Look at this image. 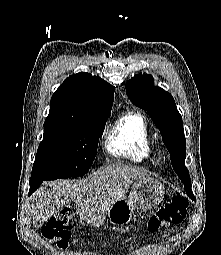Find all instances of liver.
Returning a JSON list of instances; mask_svg holds the SVG:
<instances>
[{
	"label": "liver",
	"mask_w": 221,
	"mask_h": 255,
	"mask_svg": "<svg viewBox=\"0 0 221 255\" xmlns=\"http://www.w3.org/2000/svg\"><path fill=\"white\" fill-rule=\"evenodd\" d=\"M147 175L142 168L114 163L84 179L46 182L30 198L33 226H43L73 200L79 217L100 227L111 206L125 197L133 181Z\"/></svg>",
	"instance_id": "obj_1"
}]
</instances>
